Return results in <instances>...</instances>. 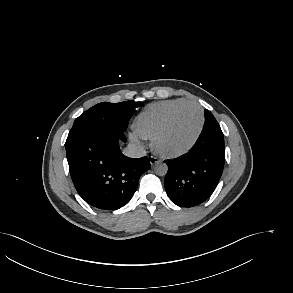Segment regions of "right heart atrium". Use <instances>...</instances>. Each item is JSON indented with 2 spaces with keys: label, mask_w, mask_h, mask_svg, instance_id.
<instances>
[{
  "label": "right heart atrium",
  "mask_w": 293,
  "mask_h": 293,
  "mask_svg": "<svg viewBox=\"0 0 293 293\" xmlns=\"http://www.w3.org/2000/svg\"><path fill=\"white\" fill-rule=\"evenodd\" d=\"M131 141L136 146H141L142 145V141H141V139H140V137L138 135H132L131 136Z\"/></svg>",
  "instance_id": "d8ad5b80"
}]
</instances>
